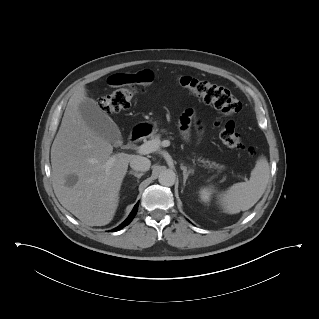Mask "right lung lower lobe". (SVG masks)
Returning a JSON list of instances; mask_svg holds the SVG:
<instances>
[{
    "label": "right lung lower lobe",
    "mask_w": 319,
    "mask_h": 319,
    "mask_svg": "<svg viewBox=\"0 0 319 319\" xmlns=\"http://www.w3.org/2000/svg\"><path fill=\"white\" fill-rule=\"evenodd\" d=\"M137 210H138V203L134 206V209L132 210V212L129 215V217L120 226H118L117 228L113 229L112 231L115 232V231H118V230L122 229L124 226H127L133 220V218L135 217V215L137 213Z\"/></svg>",
    "instance_id": "1"
}]
</instances>
